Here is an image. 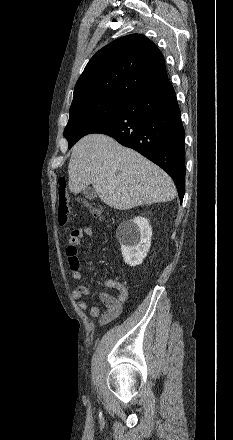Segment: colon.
Here are the masks:
<instances>
[{"instance_id": "obj_1", "label": "colon", "mask_w": 233, "mask_h": 440, "mask_svg": "<svg viewBox=\"0 0 233 440\" xmlns=\"http://www.w3.org/2000/svg\"><path fill=\"white\" fill-rule=\"evenodd\" d=\"M57 195H58V221L61 226H66L69 221L70 207L68 203V193H67V183L65 178H61L57 185ZM85 208H87L90 213L97 219H104V211L102 208L84 203Z\"/></svg>"}]
</instances>
